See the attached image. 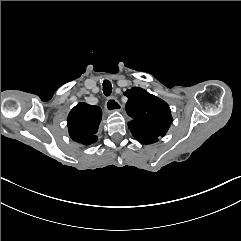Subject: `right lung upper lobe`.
Returning <instances> with one entry per match:
<instances>
[{
  "mask_svg": "<svg viewBox=\"0 0 241 241\" xmlns=\"http://www.w3.org/2000/svg\"><path fill=\"white\" fill-rule=\"evenodd\" d=\"M102 111L98 106L79 103L69 113L67 125L70 137L85 146L95 143L98 139V126Z\"/></svg>",
  "mask_w": 241,
  "mask_h": 241,
  "instance_id": "1",
  "label": "right lung upper lobe"
}]
</instances>
